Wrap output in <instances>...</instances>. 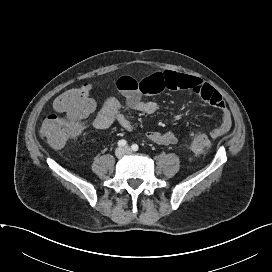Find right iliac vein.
I'll use <instances>...</instances> for the list:
<instances>
[{"mask_svg": "<svg viewBox=\"0 0 272 272\" xmlns=\"http://www.w3.org/2000/svg\"><path fill=\"white\" fill-rule=\"evenodd\" d=\"M125 153H126V152H125V149L119 147V148H117L116 151H115V156H116L117 158L120 159V158H122V157L124 156Z\"/></svg>", "mask_w": 272, "mask_h": 272, "instance_id": "right-iliac-vein-1", "label": "right iliac vein"}]
</instances>
